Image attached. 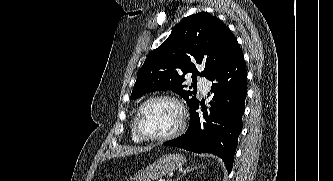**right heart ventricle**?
Listing matches in <instances>:
<instances>
[{"label": "right heart ventricle", "mask_w": 333, "mask_h": 181, "mask_svg": "<svg viewBox=\"0 0 333 181\" xmlns=\"http://www.w3.org/2000/svg\"><path fill=\"white\" fill-rule=\"evenodd\" d=\"M133 121H134V119L132 120V123H131V135H132V139H133L134 142L141 143V142H143V139L140 138L137 135V133L135 132L134 127H133Z\"/></svg>", "instance_id": "1"}]
</instances>
